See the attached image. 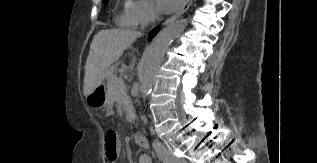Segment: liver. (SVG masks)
I'll return each mask as SVG.
<instances>
[{
	"mask_svg": "<svg viewBox=\"0 0 317 163\" xmlns=\"http://www.w3.org/2000/svg\"><path fill=\"white\" fill-rule=\"evenodd\" d=\"M140 36L139 32L120 29L101 30L94 36L85 65L83 86L85 97L102 84L108 67L116 62L123 51Z\"/></svg>",
	"mask_w": 317,
	"mask_h": 163,
	"instance_id": "6515ba94",
	"label": "liver"
}]
</instances>
